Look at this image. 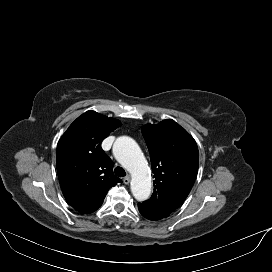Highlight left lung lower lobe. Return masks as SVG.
<instances>
[{
    "label": "left lung lower lobe",
    "mask_w": 272,
    "mask_h": 272,
    "mask_svg": "<svg viewBox=\"0 0 272 272\" xmlns=\"http://www.w3.org/2000/svg\"><path fill=\"white\" fill-rule=\"evenodd\" d=\"M138 209L142 216L145 218L156 221L162 219L161 217L157 216L156 214L152 213L151 211H148L147 209L143 208L142 206L138 205Z\"/></svg>",
    "instance_id": "obj_1"
}]
</instances>
